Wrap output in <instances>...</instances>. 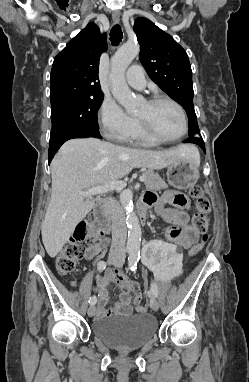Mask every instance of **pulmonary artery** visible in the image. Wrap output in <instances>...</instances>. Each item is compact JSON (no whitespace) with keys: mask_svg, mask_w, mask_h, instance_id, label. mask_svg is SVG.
I'll return each mask as SVG.
<instances>
[{"mask_svg":"<svg viewBox=\"0 0 249 382\" xmlns=\"http://www.w3.org/2000/svg\"><path fill=\"white\" fill-rule=\"evenodd\" d=\"M126 82L136 89H143L146 85L145 72L141 65L133 64L125 74Z\"/></svg>","mask_w":249,"mask_h":382,"instance_id":"pulmonary-artery-1","label":"pulmonary artery"}]
</instances>
